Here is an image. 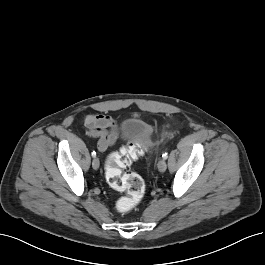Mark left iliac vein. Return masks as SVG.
Here are the masks:
<instances>
[{"instance_id":"1","label":"left iliac vein","mask_w":265,"mask_h":265,"mask_svg":"<svg viewBox=\"0 0 265 265\" xmlns=\"http://www.w3.org/2000/svg\"><path fill=\"white\" fill-rule=\"evenodd\" d=\"M166 169H167V163H166L165 159L159 160V162H158V170L160 172H165Z\"/></svg>"}]
</instances>
